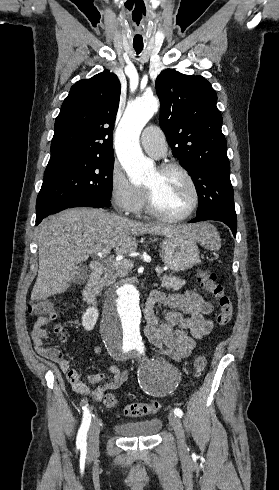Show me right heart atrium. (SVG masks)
<instances>
[{
    "label": "right heart atrium",
    "mask_w": 279,
    "mask_h": 490,
    "mask_svg": "<svg viewBox=\"0 0 279 490\" xmlns=\"http://www.w3.org/2000/svg\"><path fill=\"white\" fill-rule=\"evenodd\" d=\"M111 201L126 215L140 214L146 204V190L134 185L126 176L118 162H114L109 172Z\"/></svg>",
    "instance_id": "1"
}]
</instances>
